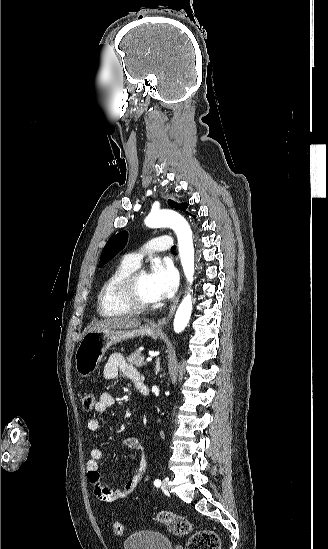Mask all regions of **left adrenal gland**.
<instances>
[{
    "label": "left adrenal gland",
    "instance_id": "obj_1",
    "mask_svg": "<svg viewBox=\"0 0 328 549\" xmlns=\"http://www.w3.org/2000/svg\"><path fill=\"white\" fill-rule=\"evenodd\" d=\"M159 365H160V361H159V359H158V361H156V369H157V371H159V369H160Z\"/></svg>",
    "mask_w": 328,
    "mask_h": 549
}]
</instances>
